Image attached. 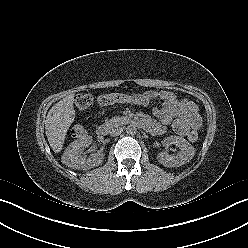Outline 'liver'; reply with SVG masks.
I'll list each match as a JSON object with an SVG mask.
<instances>
[{
  "label": "liver",
  "mask_w": 248,
  "mask_h": 248,
  "mask_svg": "<svg viewBox=\"0 0 248 248\" xmlns=\"http://www.w3.org/2000/svg\"><path fill=\"white\" fill-rule=\"evenodd\" d=\"M74 94H70L57 102L49 110L45 129L50 147L55 153L62 150L66 133L74 121Z\"/></svg>",
  "instance_id": "liver-1"
}]
</instances>
